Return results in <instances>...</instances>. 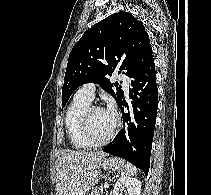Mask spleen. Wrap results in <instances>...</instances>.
<instances>
[{"label":"spleen","instance_id":"obj_1","mask_svg":"<svg viewBox=\"0 0 211 195\" xmlns=\"http://www.w3.org/2000/svg\"><path fill=\"white\" fill-rule=\"evenodd\" d=\"M137 172V168L130 163H127L125 166L124 174L126 175H134Z\"/></svg>","mask_w":211,"mask_h":195}]
</instances>
